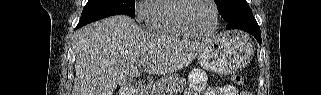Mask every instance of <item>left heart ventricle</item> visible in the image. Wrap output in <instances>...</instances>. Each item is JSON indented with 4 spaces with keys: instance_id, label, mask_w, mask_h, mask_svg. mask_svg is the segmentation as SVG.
I'll return each instance as SVG.
<instances>
[{
    "instance_id": "1",
    "label": "left heart ventricle",
    "mask_w": 321,
    "mask_h": 95,
    "mask_svg": "<svg viewBox=\"0 0 321 95\" xmlns=\"http://www.w3.org/2000/svg\"><path fill=\"white\" fill-rule=\"evenodd\" d=\"M187 21L198 31L208 32L214 25V11L208 0H195L186 10Z\"/></svg>"
}]
</instances>
